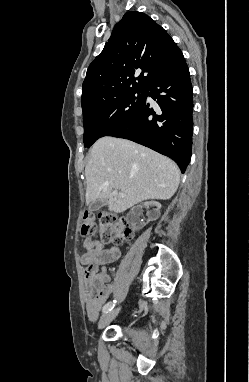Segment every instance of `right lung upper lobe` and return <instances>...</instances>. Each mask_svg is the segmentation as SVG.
<instances>
[{
  "mask_svg": "<svg viewBox=\"0 0 249 382\" xmlns=\"http://www.w3.org/2000/svg\"><path fill=\"white\" fill-rule=\"evenodd\" d=\"M183 58L176 43L152 18L137 11L127 12L88 67L82 108L145 89L155 76Z\"/></svg>",
  "mask_w": 249,
  "mask_h": 382,
  "instance_id": "right-lung-upper-lobe-1",
  "label": "right lung upper lobe"
}]
</instances>
